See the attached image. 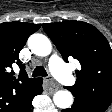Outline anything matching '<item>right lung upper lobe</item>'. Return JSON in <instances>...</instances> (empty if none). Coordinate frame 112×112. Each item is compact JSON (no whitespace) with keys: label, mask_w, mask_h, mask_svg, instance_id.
I'll list each match as a JSON object with an SVG mask.
<instances>
[{"label":"right lung upper lobe","mask_w":112,"mask_h":112,"mask_svg":"<svg viewBox=\"0 0 112 112\" xmlns=\"http://www.w3.org/2000/svg\"><path fill=\"white\" fill-rule=\"evenodd\" d=\"M40 24L18 21L0 24V112H20L30 94L42 78H28L25 65L19 60V52L28 37L40 28ZM16 63L20 74L11 70Z\"/></svg>","instance_id":"1"}]
</instances>
